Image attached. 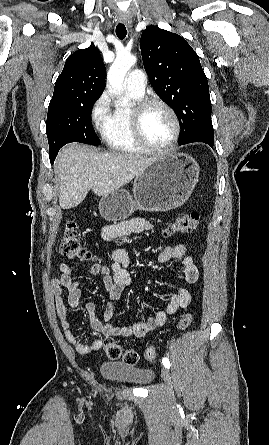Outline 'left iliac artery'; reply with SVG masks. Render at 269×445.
Here are the masks:
<instances>
[{
	"instance_id": "obj_1",
	"label": "left iliac artery",
	"mask_w": 269,
	"mask_h": 445,
	"mask_svg": "<svg viewBox=\"0 0 269 445\" xmlns=\"http://www.w3.org/2000/svg\"><path fill=\"white\" fill-rule=\"evenodd\" d=\"M162 363H163V365H164L166 368H170V361H169V359H168L167 357H164V358L162 359Z\"/></svg>"
}]
</instances>
